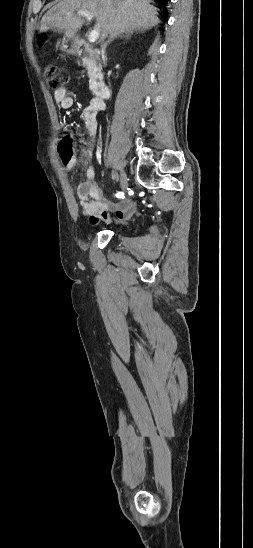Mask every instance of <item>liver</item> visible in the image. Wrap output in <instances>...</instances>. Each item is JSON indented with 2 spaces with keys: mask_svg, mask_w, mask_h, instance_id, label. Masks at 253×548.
I'll list each match as a JSON object with an SVG mask.
<instances>
[{
  "mask_svg": "<svg viewBox=\"0 0 253 548\" xmlns=\"http://www.w3.org/2000/svg\"><path fill=\"white\" fill-rule=\"evenodd\" d=\"M79 10L96 18L100 41L125 31H146L160 22L149 0H61L42 17L40 30L57 29L74 36L85 22L75 13Z\"/></svg>",
  "mask_w": 253,
  "mask_h": 548,
  "instance_id": "6515ba94",
  "label": "liver"
}]
</instances>
